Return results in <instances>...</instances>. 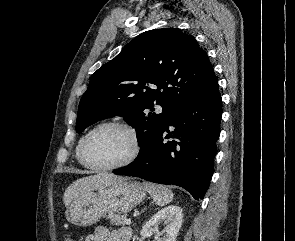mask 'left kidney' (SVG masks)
<instances>
[{
  "instance_id": "obj_1",
  "label": "left kidney",
  "mask_w": 295,
  "mask_h": 241,
  "mask_svg": "<svg viewBox=\"0 0 295 241\" xmlns=\"http://www.w3.org/2000/svg\"><path fill=\"white\" fill-rule=\"evenodd\" d=\"M182 208L167 206L154 214L142 227L141 236L148 238L155 234L156 241H175L182 226ZM163 224L164 232H159L158 225Z\"/></svg>"
}]
</instances>
